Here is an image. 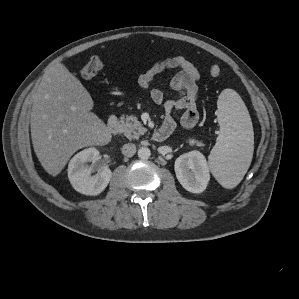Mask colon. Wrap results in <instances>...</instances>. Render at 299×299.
<instances>
[{
  "instance_id": "obj_1",
  "label": "colon",
  "mask_w": 299,
  "mask_h": 299,
  "mask_svg": "<svg viewBox=\"0 0 299 299\" xmlns=\"http://www.w3.org/2000/svg\"><path fill=\"white\" fill-rule=\"evenodd\" d=\"M103 66V59L99 56H93L83 66L81 75L85 79H91L99 73ZM209 73L212 77H218L221 73V69L218 65H212L209 69Z\"/></svg>"
}]
</instances>
